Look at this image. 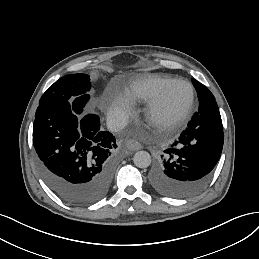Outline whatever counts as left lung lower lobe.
<instances>
[{"label":"left lung lower lobe","instance_id":"1","mask_svg":"<svg viewBox=\"0 0 259 259\" xmlns=\"http://www.w3.org/2000/svg\"><path fill=\"white\" fill-rule=\"evenodd\" d=\"M223 142L222 121L215 99L200 102L188 127L165 150L163 162L151 171V187L172 198L198 193L210 179L221 156Z\"/></svg>","mask_w":259,"mask_h":259}]
</instances>
